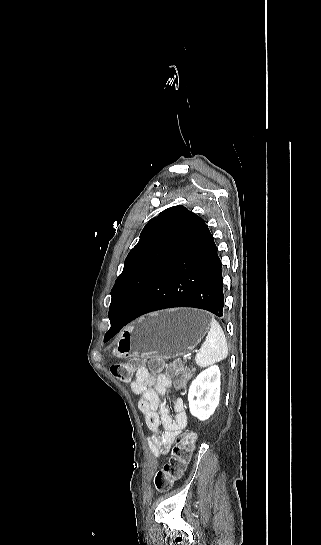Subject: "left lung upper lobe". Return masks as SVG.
I'll return each mask as SVG.
<instances>
[{
	"instance_id": "obj_1",
	"label": "left lung upper lobe",
	"mask_w": 321,
	"mask_h": 545,
	"mask_svg": "<svg viewBox=\"0 0 321 545\" xmlns=\"http://www.w3.org/2000/svg\"><path fill=\"white\" fill-rule=\"evenodd\" d=\"M191 215L187 208L173 206L145 225L111 290L109 317L116 312L128 314L134 309L165 264Z\"/></svg>"
}]
</instances>
